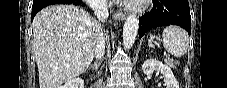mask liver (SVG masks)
<instances>
[{
    "label": "liver",
    "mask_w": 227,
    "mask_h": 88,
    "mask_svg": "<svg viewBox=\"0 0 227 88\" xmlns=\"http://www.w3.org/2000/svg\"><path fill=\"white\" fill-rule=\"evenodd\" d=\"M32 27L40 88H59L84 73L102 32L87 11L66 4L43 8Z\"/></svg>",
    "instance_id": "1"
}]
</instances>
